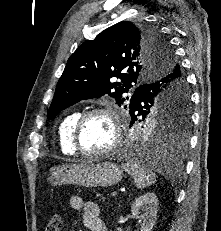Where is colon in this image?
<instances>
[{
    "mask_svg": "<svg viewBox=\"0 0 221 231\" xmlns=\"http://www.w3.org/2000/svg\"><path fill=\"white\" fill-rule=\"evenodd\" d=\"M63 221L60 215H53L47 222L46 231H61Z\"/></svg>",
    "mask_w": 221,
    "mask_h": 231,
    "instance_id": "obj_1",
    "label": "colon"
}]
</instances>
